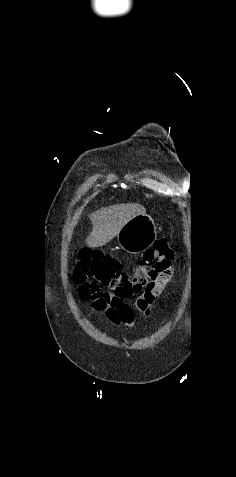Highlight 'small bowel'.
<instances>
[{"instance_id": "small-bowel-1", "label": "small bowel", "mask_w": 236, "mask_h": 477, "mask_svg": "<svg viewBox=\"0 0 236 477\" xmlns=\"http://www.w3.org/2000/svg\"><path fill=\"white\" fill-rule=\"evenodd\" d=\"M162 289L151 291L139 296L135 301L136 309L143 315L148 316L151 312L153 301L156 295L159 294ZM93 309L97 312H102L105 317L115 325H124L126 327H133L135 325L134 312L132 308L125 311H120V309H114L109 305H103L102 303H99L98 305H93Z\"/></svg>"}]
</instances>
